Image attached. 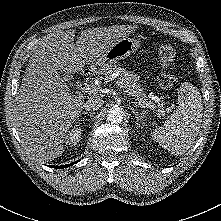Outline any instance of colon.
I'll return each instance as SVG.
<instances>
[{
  "label": "colon",
  "instance_id": "5ec220e1",
  "mask_svg": "<svg viewBox=\"0 0 221 221\" xmlns=\"http://www.w3.org/2000/svg\"><path fill=\"white\" fill-rule=\"evenodd\" d=\"M158 61L162 68L159 75V85L163 90H170L176 83L177 53L169 44H162L158 48Z\"/></svg>",
  "mask_w": 221,
  "mask_h": 221
}]
</instances>
